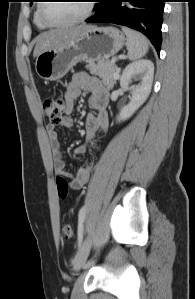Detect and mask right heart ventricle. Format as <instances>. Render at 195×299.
Segmentation results:
<instances>
[{
  "label": "right heart ventricle",
  "instance_id": "1",
  "mask_svg": "<svg viewBox=\"0 0 195 299\" xmlns=\"http://www.w3.org/2000/svg\"><path fill=\"white\" fill-rule=\"evenodd\" d=\"M38 5H39V4H38ZM38 5H37V8H36V10H35V12H34V18H33V20H34V24L36 25V27H37L38 29H40V30H45L48 26L45 25V24L40 20V18H39V16H38V11H37V9H38Z\"/></svg>",
  "mask_w": 195,
  "mask_h": 299
}]
</instances>
